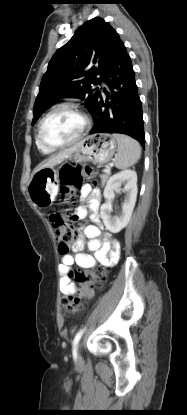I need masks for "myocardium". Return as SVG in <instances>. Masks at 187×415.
<instances>
[{"label": "myocardium", "instance_id": "1", "mask_svg": "<svg viewBox=\"0 0 187 415\" xmlns=\"http://www.w3.org/2000/svg\"><path fill=\"white\" fill-rule=\"evenodd\" d=\"M61 109H69V110H72V111L76 112L82 118V121H83L82 128L74 139H72V140H70L66 143L59 144V145L49 144L42 137L43 124L51 114H53L54 112H56L58 110H61ZM89 127H90L89 117L87 116V114L80 107H78L77 105H75L73 103H60V104H57V105L53 106L39 121L38 129H37V140L39 141V143L43 147H45L49 150H53V151L54 150H59V149L69 147V146L74 145L75 143L79 142L84 137V135L88 131Z\"/></svg>", "mask_w": 187, "mask_h": 415}]
</instances>
